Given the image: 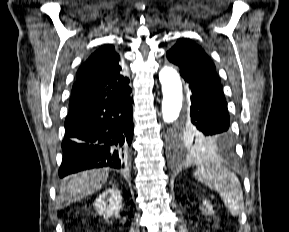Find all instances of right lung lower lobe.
Here are the masks:
<instances>
[{"label": "right lung lower lobe", "mask_w": 289, "mask_h": 232, "mask_svg": "<svg viewBox=\"0 0 289 232\" xmlns=\"http://www.w3.org/2000/svg\"><path fill=\"white\" fill-rule=\"evenodd\" d=\"M130 93L69 110L61 178L91 168L124 167L133 138Z\"/></svg>", "instance_id": "98d812e1"}]
</instances>
